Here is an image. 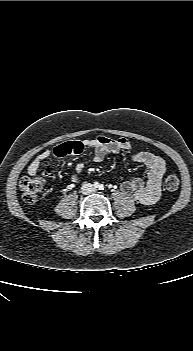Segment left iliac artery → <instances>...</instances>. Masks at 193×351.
I'll return each instance as SVG.
<instances>
[{
  "mask_svg": "<svg viewBox=\"0 0 193 351\" xmlns=\"http://www.w3.org/2000/svg\"><path fill=\"white\" fill-rule=\"evenodd\" d=\"M99 190H104V186L102 184L99 185Z\"/></svg>",
  "mask_w": 193,
  "mask_h": 351,
  "instance_id": "left-iliac-artery-1",
  "label": "left iliac artery"
}]
</instances>
